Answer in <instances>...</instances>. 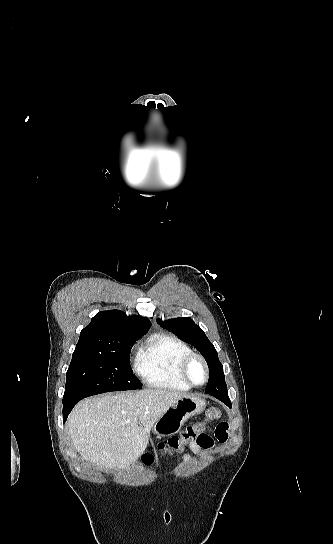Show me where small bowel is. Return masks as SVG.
Here are the masks:
<instances>
[{"instance_id":"1","label":"small bowel","mask_w":333,"mask_h":544,"mask_svg":"<svg viewBox=\"0 0 333 544\" xmlns=\"http://www.w3.org/2000/svg\"><path fill=\"white\" fill-rule=\"evenodd\" d=\"M214 435L219 442H226L229 438V424L227 422H220L215 427ZM214 444V440L208 435L203 434L199 439L190 442V448L193 452L198 453L200 450L210 449ZM190 456L185 454L184 460H189Z\"/></svg>"}]
</instances>
